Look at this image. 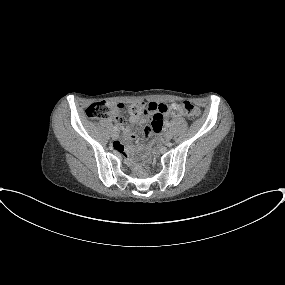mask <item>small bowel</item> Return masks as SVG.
Segmentation results:
<instances>
[{
	"mask_svg": "<svg viewBox=\"0 0 285 285\" xmlns=\"http://www.w3.org/2000/svg\"><path fill=\"white\" fill-rule=\"evenodd\" d=\"M141 104L146 106L147 114L143 116L132 117L129 121V124L123 127L124 138L116 145V149L123 155L126 154L129 146L138 137L137 132L134 130L135 126L144 125L150 122V125L146 126L144 130V134L146 136H150L152 132L158 131L162 128L164 122L163 114L166 105L153 101ZM181 116L182 115L180 114L177 117L180 118Z\"/></svg>",
	"mask_w": 285,
	"mask_h": 285,
	"instance_id": "c3829d8e",
	"label": "small bowel"
}]
</instances>
